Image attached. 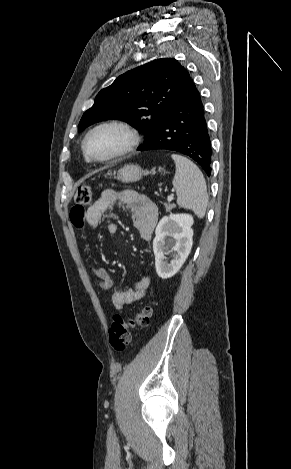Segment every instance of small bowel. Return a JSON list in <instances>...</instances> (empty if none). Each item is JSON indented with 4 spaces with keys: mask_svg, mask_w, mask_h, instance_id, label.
<instances>
[{
    "mask_svg": "<svg viewBox=\"0 0 291 469\" xmlns=\"http://www.w3.org/2000/svg\"><path fill=\"white\" fill-rule=\"evenodd\" d=\"M117 202L124 204L130 210L133 225L139 230L141 238L149 241L158 219L157 207L146 196L133 190H104L95 203L87 210H83L79 217H74L71 214V221L76 228H82L85 223L95 228L100 224L105 212ZM117 229L115 223H108L107 231L109 234L114 235ZM90 269L95 277L96 284L102 290H108L112 287L113 281L107 269L94 263L90 264ZM149 286V277L143 275L134 287L128 290L115 291L112 294L114 308L121 310L124 306L137 302L143 298Z\"/></svg>",
    "mask_w": 291,
    "mask_h": 469,
    "instance_id": "obj_1",
    "label": "small bowel"
}]
</instances>
